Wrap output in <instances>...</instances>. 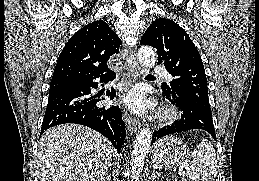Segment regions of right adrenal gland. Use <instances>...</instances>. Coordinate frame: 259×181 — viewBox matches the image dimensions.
I'll use <instances>...</instances> for the list:
<instances>
[{"label":"right adrenal gland","instance_id":"obj_1","mask_svg":"<svg viewBox=\"0 0 259 181\" xmlns=\"http://www.w3.org/2000/svg\"><path fill=\"white\" fill-rule=\"evenodd\" d=\"M103 181H110L109 173L106 174V176L104 177Z\"/></svg>","mask_w":259,"mask_h":181}]
</instances>
